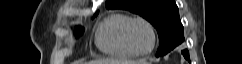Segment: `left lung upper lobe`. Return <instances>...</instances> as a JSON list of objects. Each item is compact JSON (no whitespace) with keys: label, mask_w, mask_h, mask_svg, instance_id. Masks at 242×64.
<instances>
[{"label":"left lung upper lobe","mask_w":242,"mask_h":64,"mask_svg":"<svg viewBox=\"0 0 242 64\" xmlns=\"http://www.w3.org/2000/svg\"><path fill=\"white\" fill-rule=\"evenodd\" d=\"M108 9H125L148 20L159 36L156 56H162L184 41L183 25L174 0H106Z\"/></svg>","instance_id":"5c2ea615"}]
</instances>
